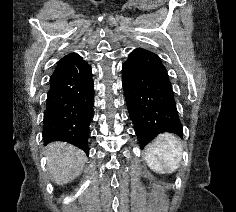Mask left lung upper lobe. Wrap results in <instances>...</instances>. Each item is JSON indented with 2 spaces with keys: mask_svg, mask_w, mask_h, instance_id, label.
<instances>
[{
  "mask_svg": "<svg viewBox=\"0 0 236 212\" xmlns=\"http://www.w3.org/2000/svg\"><path fill=\"white\" fill-rule=\"evenodd\" d=\"M149 137H150V138H152L153 136H152V135H150Z\"/></svg>",
  "mask_w": 236,
  "mask_h": 212,
  "instance_id": "left-lung-upper-lobe-1",
  "label": "left lung upper lobe"
}]
</instances>
